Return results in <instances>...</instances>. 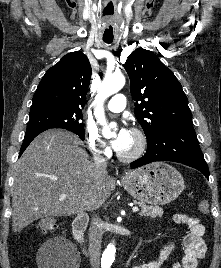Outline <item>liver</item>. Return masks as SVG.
<instances>
[{"label": "liver", "instance_id": "6515ba94", "mask_svg": "<svg viewBox=\"0 0 221 268\" xmlns=\"http://www.w3.org/2000/svg\"><path fill=\"white\" fill-rule=\"evenodd\" d=\"M79 143L73 133L52 129L38 135L24 151L14 168V232L44 217L98 208L110 197L112 179L107 172L96 171ZM63 194L67 197L61 200Z\"/></svg>", "mask_w": 221, "mask_h": 268}]
</instances>
